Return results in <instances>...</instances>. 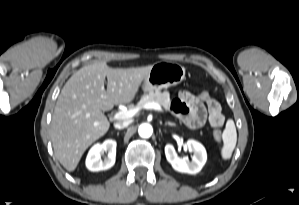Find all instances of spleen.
<instances>
[{"mask_svg":"<svg viewBox=\"0 0 299 205\" xmlns=\"http://www.w3.org/2000/svg\"><path fill=\"white\" fill-rule=\"evenodd\" d=\"M223 147L221 148V157L223 160L231 158L237 142V132L233 120H228L223 131Z\"/></svg>","mask_w":299,"mask_h":205,"instance_id":"spleen-1","label":"spleen"}]
</instances>
